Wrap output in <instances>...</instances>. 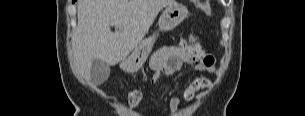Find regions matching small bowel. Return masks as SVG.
Here are the masks:
<instances>
[{
    "label": "small bowel",
    "instance_id": "small-bowel-1",
    "mask_svg": "<svg viewBox=\"0 0 305 116\" xmlns=\"http://www.w3.org/2000/svg\"><path fill=\"white\" fill-rule=\"evenodd\" d=\"M212 55L207 53L199 44L188 45L181 42L179 45H164L151 57L149 66L153 71L151 84L168 78L181 69L184 64L192 65L196 70L213 73L215 63ZM211 86V81L203 76L196 77L182 91V99L192 102L199 91H205ZM168 106L173 114L180 111V98H169Z\"/></svg>",
    "mask_w": 305,
    "mask_h": 116
}]
</instances>
